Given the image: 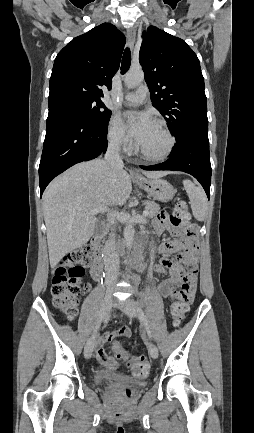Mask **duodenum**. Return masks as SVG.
<instances>
[{"label":"duodenum","instance_id":"obj_1","mask_svg":"<svg viewBox=\"0 0 254 433\" xmlns=\"http://www.w3.org/2000/svg\"><path fill=\"white\" fill-rule=\"evenodd\" d=\"M92 250H93V262L91 264V275L95 279H100L103 273V259H102V250L101 243L99 238H93L91 242Z\"/></svg>","mask_w":254,"mask_h":433}]
</instances>
